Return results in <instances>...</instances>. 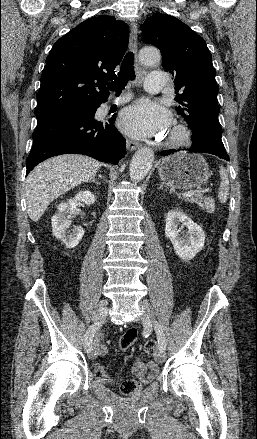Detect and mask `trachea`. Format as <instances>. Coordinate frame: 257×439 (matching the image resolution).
Returning a JSON list of instances; mask_svg holds the SVG:
<instances>
[{
    "instance_id": "1",
    "label": "trachea",
    "mask_w": 257,
    "mask_h": 439,
    "mask_svg": "<svg viewBox=\"0 0 257 439\" xmlns=\"http://www.w3.org/2000/svg\"><path fill=\"white\" fill-rule=\"evenodd\" d=\"M134 54L132 52H128L121 64L120 72L116 80L111 81L107 84V88L111 91H114L117 95L121 93V91L125 88L128 81L135 80V72H134Z\"/></svg>"
}]
</instances>
